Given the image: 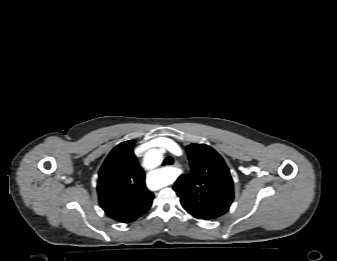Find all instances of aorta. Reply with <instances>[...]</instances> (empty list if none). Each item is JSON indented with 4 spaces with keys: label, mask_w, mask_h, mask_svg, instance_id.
Here are the masks:
<instances>
[{
    "label": "aorta",
    "mask_w": 337,
    "mask_h": 261,
    "mask_svg": "<svg viewBox=\"0 0 337 261\" xmlns=\"http://www.w3.org/2000/svg\"><path fill=\"white\" fill-rule=\"evenodd\" d=\"M162 153L159 149L149 150L145 157L144 163L148 169H154L162 163ZM153 175L159 179L160 187L169 185L174 180L175 169L173 168H163L158 169L153 172Z\"/></svg>",
    "instance_id": "obj_1"
}]
</instances>
